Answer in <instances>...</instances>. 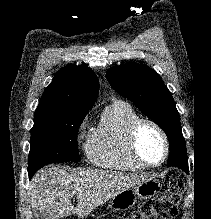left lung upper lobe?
Returning a JSON list of instances; mask_svg holds the SVG:
<instances>
[{
    "mask_svg": "<svg viewBox=\"0 0 211 219\" xmlns=\"http://www.w3.org/2000/svg\"><path fill=\"white\" fill-rule=\"evenodd\" d=\"M106 77L118 94L131 100L165 131L170 152H177L182 160L188 161L180 116L172 94L159 74L140 64L127 63L109 69Z\"/></svg>",
    "mask_w": 211,
    "mask_h": 219,
    "instance_id": "5c2ea615",
    "label": "left lung upper lobe"
}]
</instances>
